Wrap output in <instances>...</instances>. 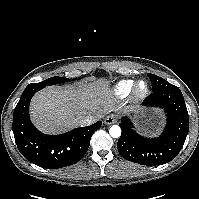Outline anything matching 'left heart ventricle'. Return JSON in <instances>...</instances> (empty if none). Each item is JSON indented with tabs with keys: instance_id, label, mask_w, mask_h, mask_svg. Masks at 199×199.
Here are the masks:
<instances>
[{
	"instance_id": "left-heart-ventricle-1",
	"label": "left heart ventricle",
	"mask_w": 199,
	"mask_h": 199,
	"mask_svg": "<svg viewBox=\"0 0 199 199\" xmlns=\"http://www.w3.org/2000/svg\"><path fill=\"white\" fill-rule=\"evenodd\" d=\"M145 85L144 84H141L140 85V90L142 91L144 89Z\"/></svg>"
}]
</instances>
